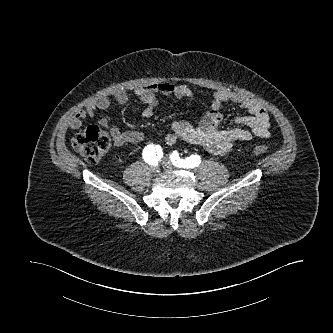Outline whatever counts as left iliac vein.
Returning <instances> with one entry per match:
<instances>
[{
	"mask_svg": "<svg viewBox=\"0 0 333 333\" xmlns=\"http://www.w3.org/2000/svg\"><path fill=\"white\" fill-rule=\"evenodd\" d=\"M162 164H163V167H165L167 169L172 168V164L169 161H167L166 159L164 160V162Z\"/></svg>",
	"mask_w": 333,
	"mask_h": 333,
	"instance_id": "1",
	"label": "left iliac vein"
}]
</instances>
